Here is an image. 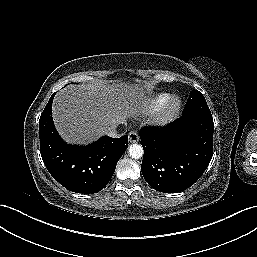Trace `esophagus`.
I'll list each match as a JSON object with an SVG mask.
<instances>
[{
    "label": "esophagus",
    "instance_id": "esophagus-1",
    "mask_svg": "<svg viewBox=\"0 0 257 257\" xmlns=\"http://www.w3.org/2000/svg\"><path fill=\"white\" fill-rule=\"evenodd\" d=\"M128 140L130 143H136L139 141V135L136 131H131L129 134H128Z\"/></svg>",
    "mask_w": 257,
    "mask_h": 257
}]
</instances>
